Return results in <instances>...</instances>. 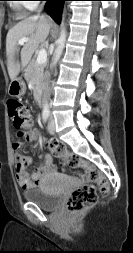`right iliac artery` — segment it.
Listing matches in <instances>:
<instances>
[{
	"label": "right iliac artery",
	"instance_id": "82829eb1",
	"mask_svg": "<svg viewBox=\"0 0 133 253\" xmlns=\"http://www.w3.org/2000/svg\"><path fill=\"white\" fill-rule=\"evenodd\" d=\"M48 117H49V112L44 111L43 114H42L43 122H47Z\"/></svg>",
	"mask_w": 133,
	"mask_h": 253
}]
</instances>
